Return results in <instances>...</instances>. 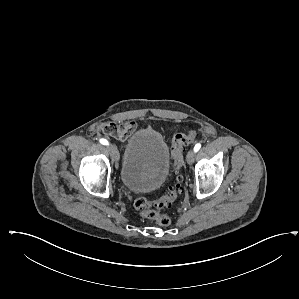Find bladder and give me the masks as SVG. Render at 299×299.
Returning a JSON list of instances; mask_svg holds the SVG:
<instances>
[{
    "mask_svg": "<svg viewBox=\"0 0 299 299\" xmlns=\"http://www.w3.org/2000/svg\"><path fill=\"white\" fill-rule=\"evenodd\" d=\"M169 164L168 145L163 135L156 130L138 132L125 145L121 183L130 191H153L168 177Z\"/></svg>",
    "mask_w": 299,
    "mask_h": 299,
    "instance_id": "bladder-1",
    "label": "bladder"
}]
</instances>
